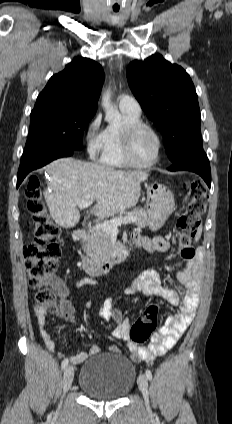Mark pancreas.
I'll use <instances>...</instances> for the list:
<instances>
[{"label":"pancreas","instance_id":"cf45deb5","mask_svg":"<svg viewBox=\"0 0 232 424\" xmlns=\"http://www.w3.org/2000/svg\"><path fill=\"white\" fill-rule=\"evenodd\" d=\"M128 216H133L137 218V221L134 223L138 228H144L148 224L147 212L140 207L136 208L134 211L125 214L123 217ZM112 239L113 236L110 231L97 227L91 230L90 235L85 239V241L86 249L94 261H103L112 254Z\"/></svg>","mask_w":232,"mask_h":424}]
</instances>
